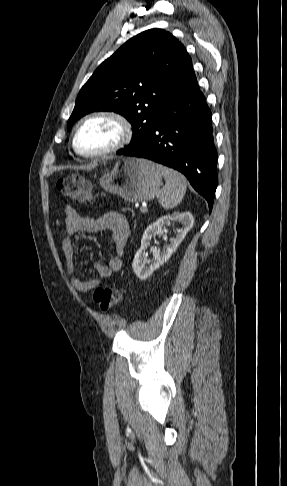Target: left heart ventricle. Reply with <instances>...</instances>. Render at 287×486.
<instances>
[{
    "instance_id": "b2bd125f",
    "label": "left heart ventricle",
    "mask_w": 287,
    "mask_h": 486,
    "mask_svg": "<svg viewBox=\"0 0 287 486\" xmlns=\"http://www.w3.org/2000/svg\"><path fill=\"white\" fill-rule=\"evenodd\" d=\"M119 137L117 125L107 119L85 124L77 135V146L83 152H98L113 145Z\"/></svg>"
}]
</instances>
